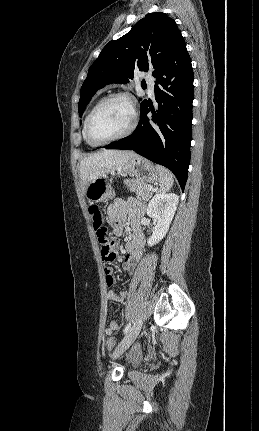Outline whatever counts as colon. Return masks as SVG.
<instances>
[{
  "instance_id": "colon-1",
  "label": "colon",
  "mask_w": 259,
  "mask_h": 431,
  "mask_svg": "<svg viewBox=\"0 0 259 431\" xmlns=\"http://www.w3.org/2000/svg\"><path fill=\"white\" fill-rule=\"evenodd\" d=\"M89 215L93 222V227L101 245V254L103 260L113 262L117 258V252L113 242L109 237V232L104 223L103 212L100 206L91 205L89 207ZM106 344L109 350L115 347L116 341L113 336H108Z\"/></svg>"
}]
</instances>
